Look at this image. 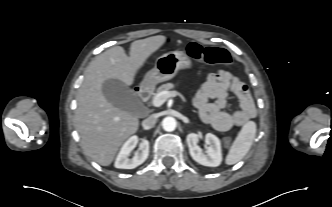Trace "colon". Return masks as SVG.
<instances>
[{
    "label": "colon",
    "instance_id": "1",
    "mask_svg": "<svg viewBox=\"0 0 332 207\" xmlns=\"http://www.w3.org/2000/svg\"><path fill=\"white\" fill-rule=\"evenodd\" d=\"M187 54L190 57L207 64L231 65V57L229 53L221 48L203 47L196 42H191L187 46ZM230 143L231 138L225 137L224 144L228 146Z\"/></svg>",
    "mask_w": 332,
    "mask_h": 207
}]
</instances>
